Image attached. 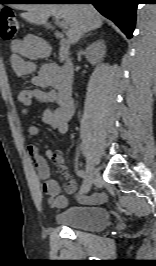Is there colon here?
<instances>
[{
  "label": "colon",
  "instance_id": "obj_1",
  "mask_svg": "<svg viewBox=\"0 0 156 266\" xmlns=\"http://www.w3.org/2000/svg\"><path fill=\"white\" fill-rule=\"evenodd\" d=\"M19 24L14 12L3 9L0 13V35L4 40H12L18 32Z\"/></svg>",
  "mask_w": 156,
  "mask_h": 266
}]
</instances>
